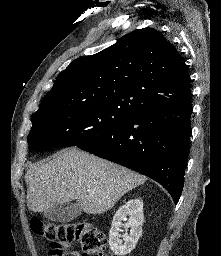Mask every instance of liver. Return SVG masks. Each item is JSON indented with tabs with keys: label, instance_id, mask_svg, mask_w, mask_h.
I'll return each instance as SVG.
<instances>
[{
	"label": "liver",
	"instance_id": "1",
	"mask_svg": "<svg viewBox=\"0 0 221 256\" xmlns=\"http://www.w3.org/2000/svg\"><path fill=\"white\" fill-rule=\"evenodd\" d=\"M25 181L27 206L33 212L76 200L85 213L96 215L110 210L146 177L72 147L33 165Z\"/></svg>",
	"mask_w": 221,
	"mask_h": 256
}]
</instances>
